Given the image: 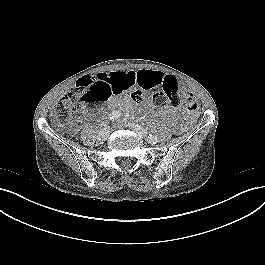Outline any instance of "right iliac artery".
<instances>
[{"instance_id":"82829eb1","label":"right iliac artery","mask_w":265,"mask_h":265,"mask_svg":"<svg viewBox=\"0 0 265 265\" xmlns=\"http://www.w3.org/2000/svg\"><path fill=\"white\" fill-rule=\"evenodd\" d=\"M120 116H121V113H120L119 111H113V112L109 115L108 119H109L110 121H114V120H117L118 118H120Z\"/></svg>"}]
</instances>
